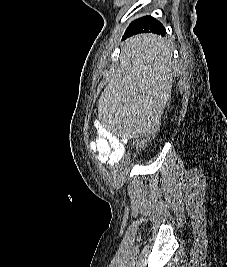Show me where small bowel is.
Instances as JSON below:
<instances>
[{"label":"small bowel","instance_id":"1","mask_svg":"<svg viewBox=\"0 0 227 267\" xmlns=\"http://www.w3.org/2000/svg\"><path fill=\"white\" fill-rule=\"evenodd\" d=\"M127 143L126 137H118L106 130H101L90 147L97 152L99 162L114 164L122 158Z\"/></svg>","mask_w":227,"mask_h":267}]
</instances>
